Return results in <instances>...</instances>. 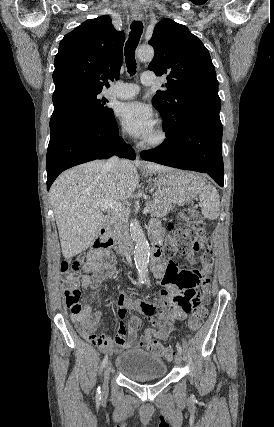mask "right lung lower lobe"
Wrapping results in <instances>:
<instances>
[{"label": "right lung lower lobe", "instance_id": "98d812e1", "mask_svg": "<svg viewBox=\"0 0 274 427\" xmlns=\"http://www.w3.org/2000/svg\"><path fill=\"white\" fill-rule=\"evenodd\" d=\"M114 154L135 159L134 150L118 135L114 114L100 121L76 119L58 125L47 150V189L62 171Z\"/></svg>", "mask_w": 274, "mask_h": 427}]
</instances>
